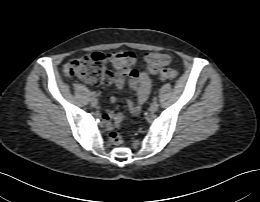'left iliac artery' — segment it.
<instances>
[{"mask_svg": "<svg viewBox=\"0 0 260 202\" xmlns=\"http://www.w3.org/2000/svg\"><path fill=\"white\" fill-rule=\"evenodd\" d=\"M153 101H154V102H157V97H153Z\"/></svg>", "mask_w": 260, "mask_h": 202, "instance_id": "44dca946", "label": "left iliac artery"}]
</instances>
